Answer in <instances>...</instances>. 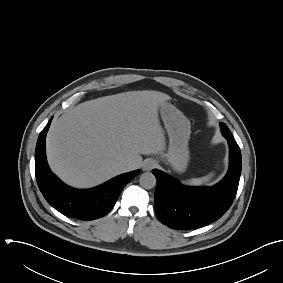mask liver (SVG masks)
<instances>
[{
    "instance_id": "6515ba94",
    "label": "liver",
    "mask_w": 283,
    "mask_h": 283,
    "mask_svg": "<svg viewBox=\"0 0 283 283\" xmlns=\"http://www.w3.org/2000/svg\"><path fill=\"white\" fill-rule=\"evenodd\" d=\"M170 100L158 91H130L83 102L51 124L46 139L51 169L77 188L99 185L122 172L121 161L134 169L141 154L165 149L159 107Z\"/></svg>"
}]
</instances>
